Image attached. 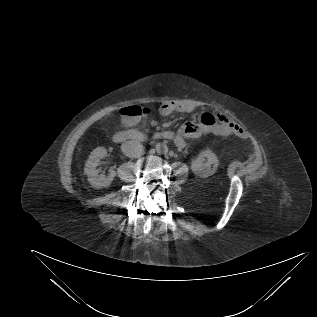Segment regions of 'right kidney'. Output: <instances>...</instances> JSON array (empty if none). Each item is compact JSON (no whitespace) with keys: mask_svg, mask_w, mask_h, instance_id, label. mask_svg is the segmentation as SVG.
<instances>
[{"mask_svg":"<svg viewBox=\"0 0 317 317\" xmlns=\"http://www.w3.org/2000/svg\"><path fill=\"white\" fill-rule=\"evenodd\" d=\"M106 155L107 150L104 147H97L91 152L85 163L84 172L88 177L89 183L96 189L109 186L116 176L114 170H111L108 176L99 174V171L97 170L99 161L106 157Z\"/></svg>","mask_w":317,"mask_h":317,"instance_id":"right-kidney-1","label":"right kidney"}]
</instances>
